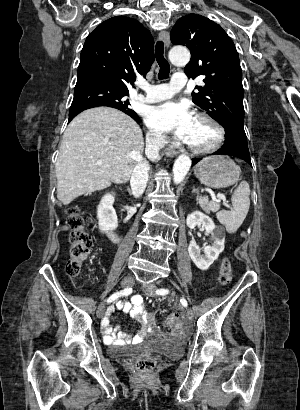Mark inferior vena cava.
<instances>
[{
  "mask_svg": "<svg viewBox=\"0 0 300 410\" xmlns=\"http://www.w3.org/2000/svg\"><path fill=\"white\" fill-rule=\"evenodd\" d=\"M163 137L153 135L146 139V154L151 160H155L159 154V149L163 146ZM149 165L146 162L138 163L132 173L130 185L132 194L135 198H139L145 191L148 182Z\"/></svg>",
  "mask_w": 300,
  "mask_h": 410,
  "instance_id": "1",
  "label": "inferior vena cava"
}]
</instances>
